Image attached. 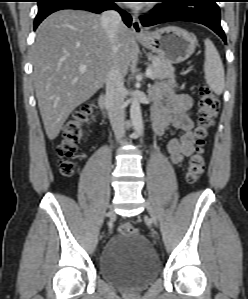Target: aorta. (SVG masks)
<instances>
[{"label": "aorta", "instance_id": "762f6f07", "mask_svg": "<svg viewBox=\"0 0 248 299\" xmlns=\"http://www.w3.org/2000/svg\"><path fill=\"white\" fill-rule=\"evenodd\" d=\"M130 118L134 129L140 134H143V119L141 114L140 103L137 98L131 100Z\"/></svg>", "mask_w": 248, "mask_h": 299}]
</instances>
